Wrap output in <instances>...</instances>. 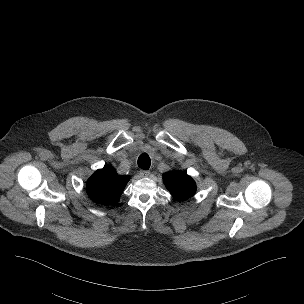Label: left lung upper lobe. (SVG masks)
Returning a JSON list of instances; mask_svg holds the SVG:
<instances>
[{
  "label": "left lung upper lobe",
  "instance_id": "5c2ea615",
  "mask_svg": "<svg viewBox=\"0 0 304 304\" xmlns=\"http://www.w3.org/2000/svg\"><path fill=\"white\" fill-rule=\"evenodd\" d=\"M163 180L166 188L172 196L178 200H185L191 197L196 191V184L193 179L181 172H168L164 174Z\"/></svg>",
  "mask_w": 304,
  "mask_h": 304
}]
</instances>
